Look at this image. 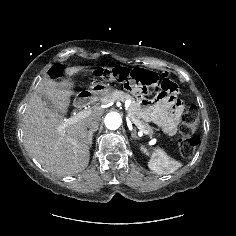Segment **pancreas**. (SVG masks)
Masks as SVG:
<instances>
[{"mask_svg":"<svg viewBox=\"0 0 236 236\" xmlns=\"http://www.w3.org/2000/svg\"><path fill=\"white\" fill-rule=\"evenodd\" d=\"M127 99H131V104L128 108L129 117L132 116L133 118L137 119L141 123L143 131L147 132L149 135H152L154 133V128L150 126L147 122L141 120L139 104L134 100L131 95L123 91L114 90L113 92L105 96L104 101L120 100L124 102Z\"/></svg>","mask_w":236,"mask_h":236,"instance_id":"1","label":"pancreas"}]
</instances>
